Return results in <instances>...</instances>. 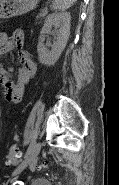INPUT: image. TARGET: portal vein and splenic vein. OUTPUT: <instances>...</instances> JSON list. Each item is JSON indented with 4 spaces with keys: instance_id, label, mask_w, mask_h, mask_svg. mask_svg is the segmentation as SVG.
Here are the masks:
<instances>
[{
    "instance_id": "portal-vein-and-splenic-vein-1",
    "label": "portal vein and splenic vein",
    "mask_w": 119,
    "mask_h": 185,
    "mask_svg": "<svg viewBox=\"0 0 119 185\" xmlns=\"http://www.w3.org/2000/svg\"><path fill=\"white\" fill-rule=\"evenodd\" d=\"M42 13H47V9H42Z\"/></svg>"
}]
</instances>
